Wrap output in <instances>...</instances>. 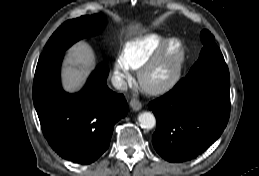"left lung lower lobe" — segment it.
Instances as JSON below:
<instances>
[{
	"instance_id": "left-lung-lower-lobe-1",
	"label": "left lung lower lobe",
	"mask_w": 259,
	"mask_h": 176,
	"mask_svg": "<svg viewBox=\"0 0 259 176\" xmlns=\"http://www.w3.org/2000/svg\"><path fill=\"white\" fill-rule=\"evenodd\" d=\"M149 108L157 121L152 139L158 154L170 162L193 159L219 138L228 123L229 72L207 70L187 75L150 102Z\"/></svg>"
}]
</instances>
